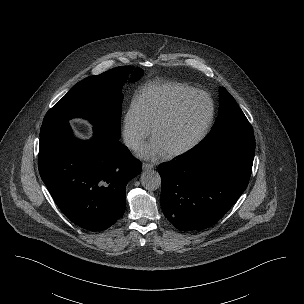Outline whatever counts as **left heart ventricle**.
<instances>
[{
  "mask_svg": "<svg viewBox=\"0 0 304 304\" xmlns=\"http://www.w3.org/2000/svg\"><path fill=\"white\" fill-rule=\"evenodd\" d=\"M208 111V102L204 98H195L162 124L154 137L161 142L167 152L179 149L196 137L206 120Z\"/></svg>",
  "mask_w": 304,
  "mask_h": 304,
  "instance_id": "b2bd125f",
  "label": "left heart ventricle"
}]
</instances>
